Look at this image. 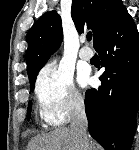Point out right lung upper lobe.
Wrapping results in <instances>:
<instances>
[{
	"label": "right lung upper lobe",
	"instance_id": "1",
	"mask_svg": "<svg viewBox=\"0 0 139 150\" xmlns=\"http://www.w3.org/2000/svg\"><path fill=\"white\" fill-rule=\"evenodd\" d=\"M126 10L121 0H72L71 16L76 29L93 32L94 47ZM61 17L56 11L43 14L33 25L28 35L26 52L27 73L32 81L62 42Z\"/></svg>",
	"mask_w": 139,
	"mask_h": 150
}]
</instances>
